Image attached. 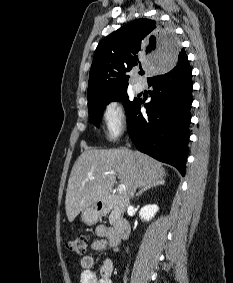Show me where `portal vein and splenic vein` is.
<instances>
[{"mask_svg": "<svg viewBox=\"0 0 233 283\" xmlns=\"http://www.w3.org/2000/svg\"><path fill=\"white\" fill-rule=\"evenodd\" d=\"M105 175H116V173L113 171H109V172H106ZM91 179H94V177H91ZM125 190H126V187L124 184H120L117 188V191L119 193H123Z\"/></svg>", "mask_w": 233, "mask_h": 283, "instance_id": "obj_1", "label": "portal vein and splenic vein"}]
</instances>
